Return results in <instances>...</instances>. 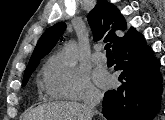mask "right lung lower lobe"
<instances>
[{
  "label": "right lung lower lobe",
  "instance_id": "1",
  "mask_svg": "<svg viewBox=\"0 0 165 120\" xmlns=\"http://www.w3.org/2000/svg\"><path fill=\"white\" fill-rule=\"evenodd\" d=\"M121 86L107 91L103 115L108 120H151L160 109L163 92L160 62L139 34L114 51Z\"/></svg>",
  "mask_w": 165,
  "mask_h": 120
}]
</instances>
